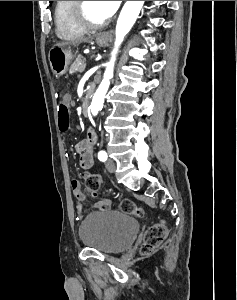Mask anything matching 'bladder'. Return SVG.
<instances>
[{"label":"bladder","mask_w":237,"mask_h":300,"mask_svg":"<svg viewBox=\"0 0 237 300\" xmlns=\"http://www.w3.org/2000/svg\"><path fill=\"white\" fill-rule=\"evenodd\" d=\"M138 232L136 219L110 210L88 214L79 226L78 236L84 246L104 254H114L128 248Z\"/></svg>","instance_id":"31cf9c89"}]
</instances>
